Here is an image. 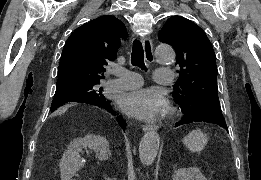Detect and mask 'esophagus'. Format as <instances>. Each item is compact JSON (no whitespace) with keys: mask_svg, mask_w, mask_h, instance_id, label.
Masks as SVG:
<instances>
[{"mask_svg":"<svg viewBox=\"0 0 261 180\" xmlns=\"http://www.w3.org/2000/svg\"><path fill=\"white\" fill-rule=\"evenodd\" d=\"M143 48H144V54H145V59L148 63H153L155 58L153 54V44L152 40L150 37H144L143 38ZM157 130L156 125H151V124H146L143 125V131L144 132H152Z\"/></svg>","mask_w":261,"mask_h":180,"instance_id":"1","label":"esophagus"}]
</instances>
